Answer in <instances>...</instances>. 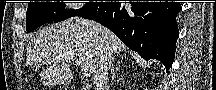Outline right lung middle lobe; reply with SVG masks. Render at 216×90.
Returning <instances> with one entry per match:
<instances>
[{"label":"right lung middle lobe","instance_id":"obj_1","mask_svg":"<svg viewBox=\"0 0 216 90\" xmlns=\"http://www.w3.org/2000/svg\"><path fill=\"white\" fill-rule=\"evenodd\" d=\"M102 2H89L78 10L65 9L64 2H29L26 13V31L32 32L39 26L60 22L74 16H82L95 9Z\"/></svg>","mask_w":216,"mask_h":90}]
</instances>
